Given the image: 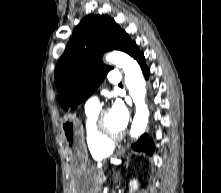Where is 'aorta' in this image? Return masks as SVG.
<instances>
[{
	"label": "aorta",
	"instance_id": "aorta-1",
	"mask_svg": "<svg viewBox=\"0 0 221 193\" xmlns=\"http://www.w3.org/2000/svg\"><path fill=\"white\" fill-rule=\"evenodd\" d=\"M106 61L122 68L125 73V85L136 107L130 136L137 138L145 131L149 119V110L145 103L146 83L140 66L132 57L121 51L108 53Z\"/></svg>",
	"mask_w": 221,
	"mask_h": 193
}]
</instances>
